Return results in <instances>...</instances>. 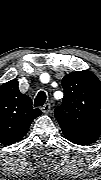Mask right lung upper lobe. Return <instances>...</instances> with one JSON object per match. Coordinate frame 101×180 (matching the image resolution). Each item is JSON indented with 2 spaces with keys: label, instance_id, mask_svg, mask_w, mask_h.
Listing matches in <instances>:
<instances>
[{
  "label": "right lung upper lobe",
  "instance_id": "obj_1",
  "mask_svg": "<svg viewBox=\"0 0 101 180\" xmlns=\"http://www.w3.org/2000/svg\"><path fill=\"white\" fill-rule=\"evenodd\" d=\"M41 115L32 100L18 90L17 80L0 86V143L11 145L24 137L32 121Z\"/></svg>",
  "mask_w": 101,
  "mask_h": 180
}]
</instances>
